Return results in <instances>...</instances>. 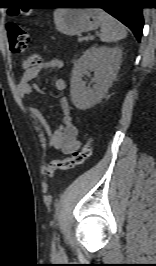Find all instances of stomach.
Masks as SVG:
<instances>
[{
  "label": "stomach",
  "instance_id": "0dacf381",
  "mask_svg": "<svg viewBox=\"0 0 156 266\" xmlns=\"http://www.w3.org/2000/svg\"><path fill=\"white\" fill-rule=\"evenodd\" d=\"M54 22L59 32L71 36L95 30L101 25L98 9L89 8L56 9Z\"/></svg>",
  "mask_w": 156,
  "mask_h": 266
}]
</instances>
